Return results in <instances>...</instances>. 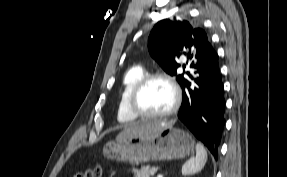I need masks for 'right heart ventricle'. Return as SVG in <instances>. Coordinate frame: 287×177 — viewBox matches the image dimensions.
I'll return each instance as SVG.
<instances>
[{"mask_svg": "<svg viewBox=\"0 0 287 177\" xmlns=\"http://www.w3.org/2000/svg\"><path fill=\"white\" fill-rule=\"evenodd\" d=\"M145 75L143 69L139 66L132 67L124 74L118 96V120L123 123H132L138 119L129 108V97L137 82Z\"/></svg>", "mask_w": 287, "mask_h": 177, "instance_id": "obj_1", "label": "right heart ventricle"}]
</instances>
